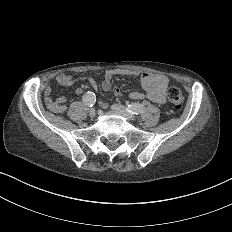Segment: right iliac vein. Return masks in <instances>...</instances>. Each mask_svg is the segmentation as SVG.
I'll list each match as a JSON object with an SVG mask.
<instances>
[{
	"instance_id": "63e3f726",
	"label": "right iliac vein",
	"mask_w": 232,
	"mask_h": 232,
	"mask_svg": "<svg viewBox=\"0 0 232 232\" xmlns=\"http://www.w3.org/2000/svg\"><path fill=\"white\" fill-rule=\"evenodd\" d=\"M89 116L90 117H95L96 116V110L95 109H90L89 110Z\"/></svg>"
}]
</instances>
